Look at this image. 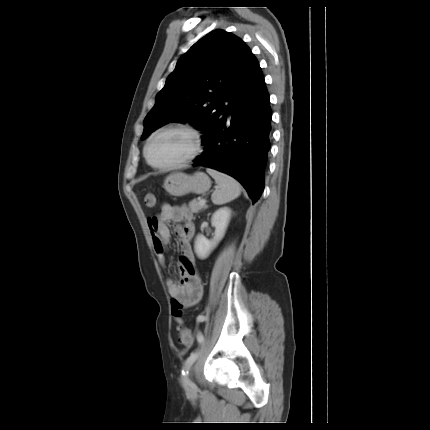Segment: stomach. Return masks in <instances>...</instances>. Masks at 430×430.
<instances>
[{
	"label": "stomach",
	"instance_id": "0dacf381",
	"mask_svg": "<svg viewBox=\"0 0 430 430\" xmlns=\"http://www.w3.org/2000/svg\"><path fill=\"white\" fill-rule=\"evenodd\" d=\"M163 187L170 195L175 197L189 193L204 194L210 189L211 180L203 172H196L192 175L177 172L166 177Z\"/></svg>",
	"mask_w": 430,
	"mask_h": 430
}]
</instances>
